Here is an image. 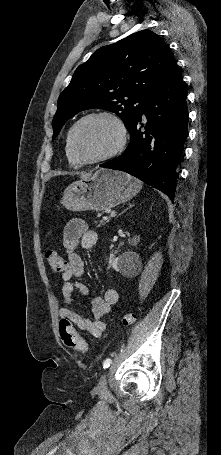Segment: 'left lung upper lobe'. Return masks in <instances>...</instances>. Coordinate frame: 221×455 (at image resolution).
Here are the masks:
<instances>
[{"label": "left lung upper lobe", "instance_id": "5c2ea615", "mask_svg": "<svg viewBox=\"0 0 221 455\" xmlns=\"http://www.w3.org/2000/svg\"><path fill=\"white\" fill-rule=\"evenodd\" d=\"M175 63L166 43L150 30L101 47L76 69L60 94L53 138L68 119L90 108L116 113L130 132L147 97Z\"/></svg>", "mask_w": 221, "mask_h": 455}]
</instances>
